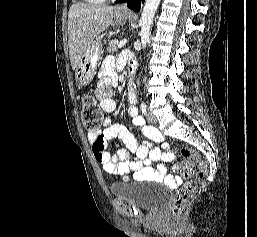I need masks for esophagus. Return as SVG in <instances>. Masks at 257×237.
Returning <instances> with one entry per match:
<instances>
[{
  "label": "esophagus",
  "instance_id": "obj_1",
  "mask_svg": "<svg viewBox=\"0 0 257 237\" xmlns=\"http://www.w3.org/2000/svg\"><path fill=\"white\" fill-rule=\"evenodd\" d=\"M117 11H118V12H127L128 9H127L126 4H121V5H119V6L117 7Z\"/></svg>",
  "mask_w": 257,
  "mask_h": 237
}]
</instances>
